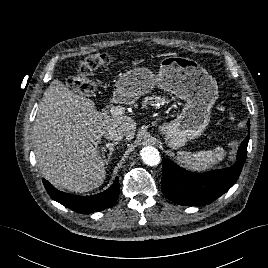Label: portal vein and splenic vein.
<instances>
[{
	"label": "portal vein and splenic vein",
	"instance_id": "portal-vein-and-splenic-vein-1",
	"mask_svg": "<svg viewBox=\"0 0 268 268\" xmlns=\"http://www.w3.org/2000/svg\"><path fill=\"white\" fill-rule=\"evenodd\" d=\"M110 113H111V115H113L115 117L122 116L125 113V108L122 106H113L110 109Z\"/></svg>",
	"mask_w": 268,
	"mask_h": 268
}]
</instances>
